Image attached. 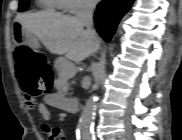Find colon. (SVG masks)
<instances>
[{
  "mask_svg": "<svg viewBox=\"0 0 182 140\" xmlns=\"http://www.w3.org/2000/svg\"><path fill=\"white\" fill-rule=\"evenodd\" d=\"M15 58L16 74L26 101L34 104L37 97L48 92L50 88L51 69L43 54L29 47H19Z\"/></svg>",
  "mask_w": 182,
  "mask_h": 140,
  "instance_id": "obj_1",
  "label": "colon"
}]
</instances>
